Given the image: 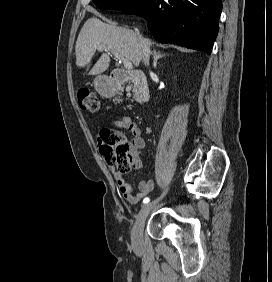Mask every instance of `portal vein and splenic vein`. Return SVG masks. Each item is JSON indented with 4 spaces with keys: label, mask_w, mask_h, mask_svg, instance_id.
Listing matches in <instances>:
<instances>
[{
    "label": "portal vein and splenic vein",
    "mask_w": 272,
    "mask_h": 282,
    "mask_svg": "<svg viewBox=\"0 0 272 282\" xmlns=\"http://www.w3.org/2000/svg\"><path fill=\"white\" fill-rule=\"evenodd\" d=\"M99 50L109 51L111 54L115 56L117 60H119L120 62H123L124 67L126 69H132L133 67L132 62L125 60L118 52L107 49L105 46H99Z\"/></svg>",
    "instance_id": "obj_1"
}]
</instances>
